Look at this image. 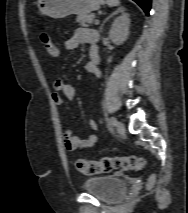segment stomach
<instances>
[{
	"mask_svg": "<svg viewBox=\"0 0 188 213\" xmlns=\"http://www.w3.org/2000/svg\"><path fill=\"white\" fill-rule=\"evenodd\" d=\"M103 0H38L39 15L64 18L71 14L87 15L98 10Z\"/></svg>",
	"mask_w": 188,
	"mask_h": 213,
	"instance_id": "1",
	"label": "stomach"
}]
</instances>
